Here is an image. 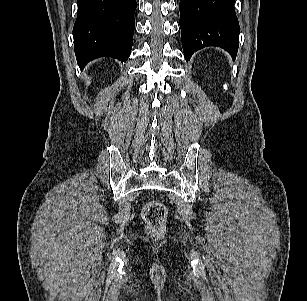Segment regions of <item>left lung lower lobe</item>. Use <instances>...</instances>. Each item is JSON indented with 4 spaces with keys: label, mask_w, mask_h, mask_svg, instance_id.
<instances>
[{
    "label": "left lung lower lobe",
    "mask_w": 307,
    "mask_h": 301,
    "mask_svg": "<svg viewBox=\"0 0 307 301\" xmlns=\"http://www.w3.org/2000/svg\"><path fill=\"white\" fill-rule=\"evenodd\" d=\"M180 28L186 61L197 50L216 46L234 59L239 44V22L234 0H180Z\"/></svg>",
    "instance_id": "1"
}]
</instances>
